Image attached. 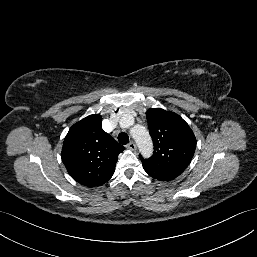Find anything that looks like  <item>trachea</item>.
<instances>
[{
	"mask_svg": "<svg viewBox=\"0 0 257 257\" xmlns=\"http://www.w3.org/2000/svg\"><path fill=\"white\" fill-rule=\"evenodd\" d=\"M118 141L122 145H126L129 143V136L126 133H120L118 135Z\"/></svg>",
	"mask_w": 257,
	"mask_h": 257,
	"instance_id": "obj_1",
	"label": "trachea"
}]
</instances>
